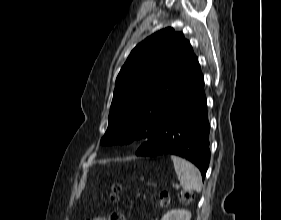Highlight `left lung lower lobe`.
Masks as SVG:
<instances>
[{
    "instance_id": "left-lung-lower-lobe-1",
    "label": "left lung lower lobe",
    "mask_w": 281,
    "mask_h": 220,
    "mask_svg": "<svg viewBox=\"0 0 281 220\" xmlns=\"http://www.w3.org/2000/svg\"><path fill=\"white\" fill-rule=\"evenodd\" d=\"M210 125L200 67L180 90L153 138L136 152L140 156L174 154L194 163L204 180L210 161Z\"/></svg>"
}]
</instances>
